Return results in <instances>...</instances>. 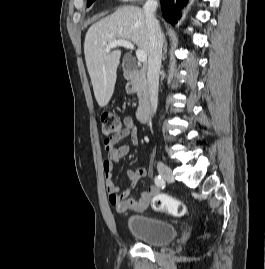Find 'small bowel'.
<instances>
[{
	"instance_id": "1",
	"label": "small bowel",
	"mask_w": 265,
	"mask_h": 269,
	"mask_svg": "<svg viewBox=\"0 0 265 269\" xmlns=\"http://www.w3.org/2000/svg\"><path fill=\"white\" fill-rule=\"evenodd\" d=\"M127 136L132 137V143H138V128L134 119L130 116L123 118V129L119 136L104 141V150L107 158L103 161L102 168L105 175V187L109 195V203L114 206L118 212L124 213L132 211L136 213L145 212L154 196L160 189L157 185H151L141 192L138 199L131 198L132 191L137 186L140 178L146 173L145 168L138 167L136 170H127L128 184L124 190H121L113 181V166L130 152V146L120 144L121 140Z\"/></svg>"
}]
</instances>
